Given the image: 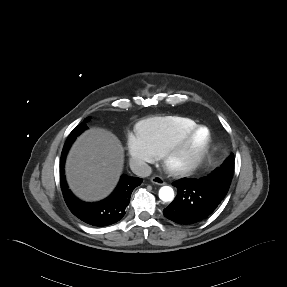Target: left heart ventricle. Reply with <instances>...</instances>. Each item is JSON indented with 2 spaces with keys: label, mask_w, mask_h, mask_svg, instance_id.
I'll return each instance as SVG.
<instances>
[{
  "label": "left heart ventricle",
  "mask_w": 287,
  "mask_h": 287,
  "mask_svg": "<svg viewBox=\"0 0 287 287\" xmlns=\"http://www.w3.org/2000/svg\"><path fill=\"white\" fill-rule=\"evenodd\" d=\"M208 139V132L206 129H201L196 133L190 141L186 150L180 154L175 160L176 163L192 162L202 151Z\"/></svg>",
  "instance_id": "left-heart-ventricle-1"
}]
</instances>
